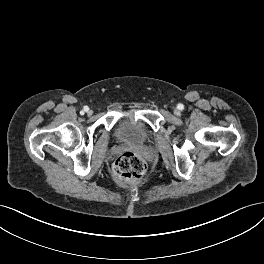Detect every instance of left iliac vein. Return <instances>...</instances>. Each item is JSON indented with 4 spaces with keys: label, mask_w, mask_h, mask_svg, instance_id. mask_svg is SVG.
<instances>
[{
    "label": "left iliac vein",
    "mask_w": 264,
    "mask_h": 264,
    "mask_svg": "<svg viewBox=\"0 0 264 264\" xmlns=\"http://www.w3.org/2000/svg\"><path fill=\"white\" fill-rule=\"evenodd\" d=\"M174 113H175V115H180V111L179 110H174Z\"/></svg>",
    "instance_id": "left-iliac-vein-1"
}]
</instances>
